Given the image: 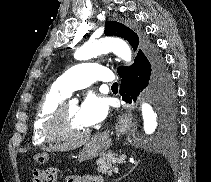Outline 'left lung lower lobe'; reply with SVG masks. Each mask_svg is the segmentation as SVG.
<instances>
[{"instance_id":"0a47b994","label":"left lung lower lobe","mask_w":211,"mask_h":182,"mask_svg":"<svg viewBox=\"0 0 211 182\" xmlns=\"http://www.w3.org/2000/svg\"><path fill=\"white\" fill-rule=\"evenodd\" d=\"M119 76L123 100L128 103L135 102L140 91L145 89L156 103L162 118L169 117L176 93L164 59L154 45L138 51L133 65L119 73Z\"/></svg>"}]
</instances>
